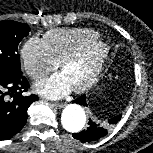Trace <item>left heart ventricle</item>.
<instances>
[{
  "label": "left heart ventricle",
  "instance_id": "1",
  "mask_svg": "<svg viewBox=\"0 0 153 153\" xmlns=\"http://www.w3.org/2000/svg\"><path fill=\"white\" fill-rule=\"evenodd\" d=\"M93 63L94 57H88L80 62L69 65L63 73L66 75L72 86L75 87L87 78Z\"/></svg>",
  "mask_w": 153,
  "mask_h": 153
}]
</instances>
